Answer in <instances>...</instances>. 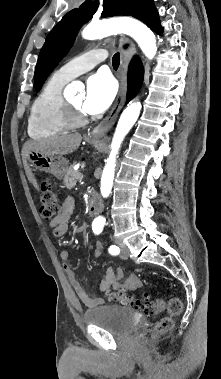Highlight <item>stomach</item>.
Instances as JSON below:
<instances>
[{"label":"stomach","instance_id":"obj_1","mask_svg":"<svg viewBox=\"0 0 221 379\" xmlns=\"http://www.w3.org/2000/svg\"><path fill=\"white\" fill-rule=\"evenodd\" d=\"M30 165L36 169L62 179L68 170L69 162L62 156L46 155L42 152L31 151L28 154Z\"/></svg>","mask_w":221,"mask_h":379}]
</instances>
